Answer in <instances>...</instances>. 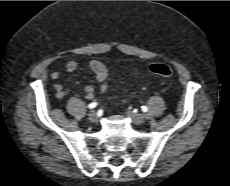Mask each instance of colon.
<instances>
[{"label":"colon","instance_id":"colon-1","mask_svg":"<svg viewBox=\"0 0 230 186\" xmlns=\"http://www.w3.org/2000/svg\"><path fill=\"white\" fill-rule=\"evenodd\" d=\"M149 70L153 74L162 76V77H171L173 75V71L170 66L163 63H152L149 65Z\"/></svg>","mask_w":230,"mask_h":186}]
</instances>
